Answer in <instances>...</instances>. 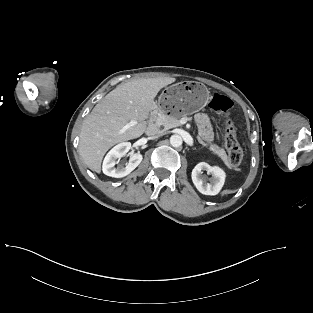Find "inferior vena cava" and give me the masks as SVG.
Segmentation results:
<instances>
[{"label":"inferior vena cava","mask_w":313,"mask_h":313,"mask_svg":"<svg viewBox=\"0 0 313 313\" xmlns=\"http://www.w3.org/2000/svg\"><path fill=\"white\" fill-rule=\"evenodd\" d=\"M148 135L150 136L151 139H156V138H159L160 136H162L164 134L163 131H160V130H148L147 131Z\"/></svg>","instance_id":"inferior-vena-cava-1"}]
</instances>
